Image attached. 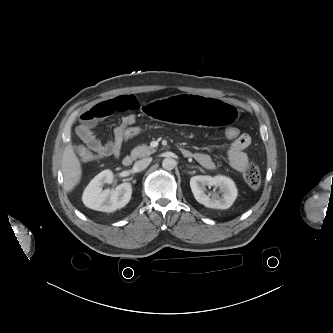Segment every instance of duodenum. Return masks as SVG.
Returning <instances> with one entry per match:
<instances>
[{"label":"duodenum","instance_id":"410a0bca","mask_svg":"<svg viewBox=\"0 0 333 333\" xmlns=\"http://www.w3.org/2000/svg\"><path fill=\"white\" fill-rule=\"evenodd\" d=\"M182 153L185 155V156H190V152L185 150V149H182ZM133 157L132 156H126L123 158L122 160V164L125 166V167H129L132 163H133Z\"/></svg>","mask_w":333,"mask_h":333}]
</instances>
